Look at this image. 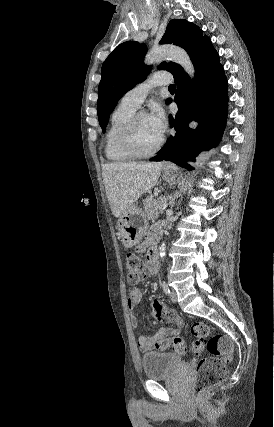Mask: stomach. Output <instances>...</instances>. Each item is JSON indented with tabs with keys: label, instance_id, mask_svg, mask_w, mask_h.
<instances>
[{
	"label": "stomach",
	"instance_id": "obj_1",
	"mask_svg": "<svg viewBox=\"0 0 274 427\" xmlns=\"http://www.w3.org/2000/svg\"><path fill=\"white\" fill-rule=\"evenodd\" d=\"M177 176V168L174 170H163V180L173 182ZM119 237L125 247H133L142 239L147 227L148 219L142 210L132 206L125 214L121 215L117 221Z\"/></svg>",
	"mask_w": 274,
	"mask_h": 427
}]
</instances>
